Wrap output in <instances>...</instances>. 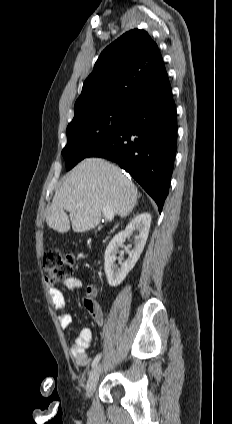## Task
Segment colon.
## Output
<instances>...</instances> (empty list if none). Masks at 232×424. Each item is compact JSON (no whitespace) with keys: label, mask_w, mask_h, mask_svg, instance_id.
I'll use <instances>...</instances> for the list:
<instances>
[{"label":"colon","mask_w":232,"mask_h":424,"mask_svg":"<svg viewBox=\"0 0 232 424\" xmlns=\"http://www.w3.org/2000/svg\"><path fill=\"white\" fill-rule=\"evenodd\" d=\"M42 266L45 280L50 285H56L66 280L75 269V259L72 254L63 253L58 249L45 252Z\"/></svg>","instance_id":"1"}]
</instances>
